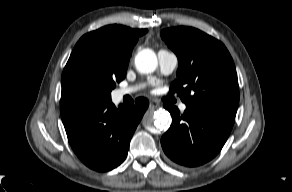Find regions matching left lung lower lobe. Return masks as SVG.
I'll return each instance as SVG.
<instances>
[{
    "label": "left lung lower lobe",
    "mask_w": 292,
    "mask_h": 192,
    "mask_svg": "<svg viewBox=\"0 0 292 192\" xmlns=\"http://www.w3.org/2000/svg\"><path fill=\"white\" fill-rule=\"evenodd\" d=\"M173 122L162 136L164 153L175 163L195 167L214 158L225 144L235 121V113L186 107L184 114L164 105Z\"/></svg>",
    "instance_id": "obj_1"
}]
</instances>
